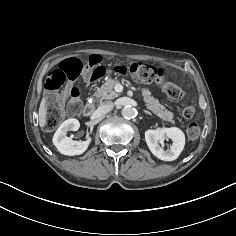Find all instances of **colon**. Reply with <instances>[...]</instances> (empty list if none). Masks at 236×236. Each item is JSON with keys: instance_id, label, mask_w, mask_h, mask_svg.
Listing matches in <instances>:
<instances>
[{"instance_id": "1", "label": "colon", "mask_w": 236, "mask_h": 236, "mask_svg": "<svg viewBox=\"0 0 236 236\" xmlns=\"http://www.w3.org/2000/svg\"><path fill=\"white\" fill-rule=\"evenodd\" d=\"M99 63L100 61L95 56L90 57L86 62L78 58H68L53 72L46 83V88L49 91V99L44 120L45 130H53L58 127L64 119L65 113L70 116L81 113L82 103L79 100V90L76 87H71L67 90L69 99L66 104L58 91L66 82L74 81L80 75L89 82L104 77L107 70ZM113 71L119 75H128L137 82L153 83L173 100H180L184 96L182 89L169 81L164 70L146 62L137 61L129 65H118L113 68ZM180 113L183 118L190 119L193 117L195 110L192 106H183ZM199 135L200 126L197 123L189 124L187 127V136L191 140H195Z\"/></svg>"}]
</instances>
